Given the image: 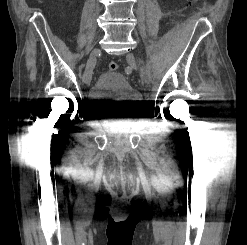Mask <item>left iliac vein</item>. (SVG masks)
Returning a JSON list of instances; mask_svg holds the SVG:
<instances>
[{"mask_svg":"<svg viewBox=\"0 0 247 245\" xmlns=\"http://www.w3.org/2000/svg\"><path fill=\"white\" fill-rule=\"evenodd\" d=\"M127 61L129 62V64L133 67V68H137V61L135 59V57L132 54H127ZM140 76L142 78L143 81H147L148 80V74L146 71L142 70L140 73Z\"/></svg>","mask_w":247,"mask_h":245,"instance_id":"1","label":"left iliac vein"}]
</instances>
